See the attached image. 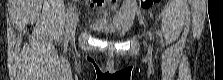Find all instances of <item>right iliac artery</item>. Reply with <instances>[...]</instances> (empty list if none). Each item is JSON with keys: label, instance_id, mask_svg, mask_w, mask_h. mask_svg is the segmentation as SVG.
I'll return each mask as SVG.
<instances>
[{"label": "right iliac artery", "instance_id": "1", "mask_svg": "<svg viewBox=\"0 0 223 80\" xmlns=\"http://www.w3.org/2000/svg\"><path fill=\"white\" fill-rule=\"evenodd\" d=\"M75 7H70L68 12H67V19H66V30H65V36H64V41L67 42L68 36H69V31H70V25L72 21V16L74 13Z\"/></svg>", "mask_w": 223, "mask_h": 80}]
</instances>
